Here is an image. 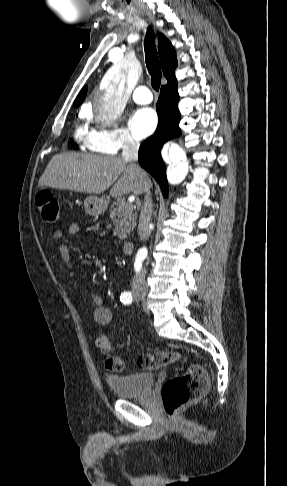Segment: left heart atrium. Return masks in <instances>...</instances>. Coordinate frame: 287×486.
Masks as SVG:
<instances>
[{
	"label": "left heart atrium",
	"instance_id": "1",
	"mask_svg": "<svg viewBox=\"0 0 287 486\" xmlns=\"http://www.w3.org/2000/svg\"><path fill=\"white\" fill-rule=\"evenodd\" d=\"M157 115L151 108L137 109L130 117L129 126L138 139L150 135L156 128Z\"/></svg>",
	"mask_w": 287,
	"mask_h": 486
}]
</instances>
